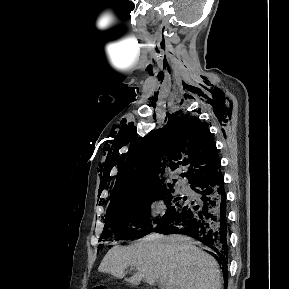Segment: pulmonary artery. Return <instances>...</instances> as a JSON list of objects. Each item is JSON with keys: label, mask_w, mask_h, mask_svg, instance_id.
<instances>
[{"label": "pulmonary artery", "mask_w": 289, "mask_h": 289, "mask_svg": "<svg viewBox=\"0 0 289 289\" xmlns=\"http://www.w3.org/2000/svg\"><path fill=\"white\" fill-rule=\"evenodd\" d=\"M181 188H182V190H184V191H188V188H187V186H186V185H184V184H182V185H181Z\"/></svg>", "instance_id": "obj_1"}]
</instances>
